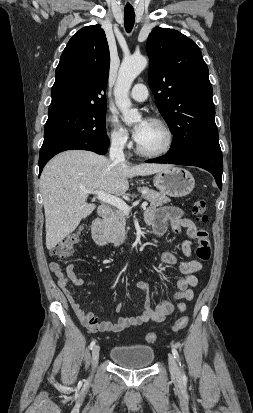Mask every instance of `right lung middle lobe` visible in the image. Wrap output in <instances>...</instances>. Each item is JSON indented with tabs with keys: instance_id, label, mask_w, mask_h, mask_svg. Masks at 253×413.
I'll list each match as a JSON object with an SVG mask.
<instances>
[{
	"instance_id": "obj_1",
	"label": "right lung middle lobe",
	"mask_w": 253,
	"mask_h": 413,
	"mask_svg": "<svg viewBox=\"0 0 253 413\" xmlns=\"http://www.w3.org/2000/svg\"><path fill=\"white\" fill-rule=\"evenodd\" d=\"M107 107L73 109L48 115L42 147L65 140L93 141L107 138Z\"/></svg>"
}]
</instances>
